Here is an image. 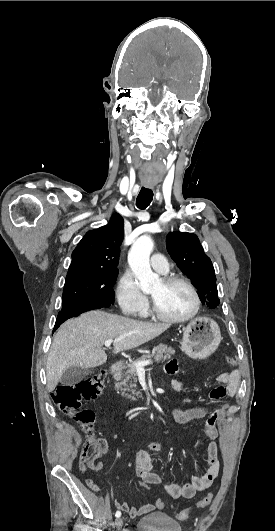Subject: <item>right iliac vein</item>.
Instances as JSON below:
<instances>
[{
	"instance_id": "right-iliac-vein-1",
	"label": "right iliac vein",
	"mask_w": 275,
	"mask_h": 531,
	"mask_svg": "<svg viewBox=\"0 0 275 531\" xmlns=\"http://www.w3.org/2000/svg\"><path fill=\"white\" fill-rule=\"evenodd\" d=\"M122 525H123V521H122V519H121V518H118V519L116 520V522H115V527H116V529H117V530H120L121 527H122Z\"/></svg>"
}]
</instances>
